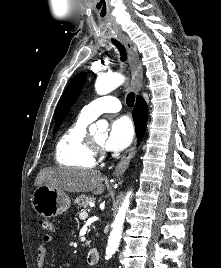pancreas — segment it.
Returning a JSON list of instances; mask_svg holds the SVG:
<instances>
[{"label":"pancreas","mask_w":221,"mask_h":268,"mask_svg":"<svg viewBox=\"0 0 221 268\" xmlns=\"http://www.w3.org/2000/svg\"><path fill=\"white\" fill-rule=\"evenodd\" d=\"M94 201L95 198L93 196L81 195L80 197H77L74 202L78 207L86 208L88 207L89 203Z\"/></svg>","instance_id":"obj_1"}]
</instances>
